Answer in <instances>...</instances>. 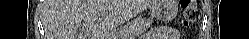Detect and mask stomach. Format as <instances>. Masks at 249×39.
Returning a JSON list of instances; mask_svg holds the SVG:
<instances>
[{
	"instance_id": "stomach-1",
	"label": "stomach",
	"mask_w": 249,
	"mask_h": 39,
	"mask_svg": "<svg viewBox=\"0 0 249 39\" xmlns=\"http://www.w3.org/2000/svg\"><path fill=\"white\" fill-rule=\"evenodd\" d=\"M151 16L160 21H170L176 15L175 0H157L150 7ZM112 39V38H110Z\"/></svg>"
}]
</instances>
